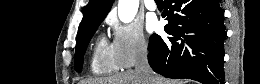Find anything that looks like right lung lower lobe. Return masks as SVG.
<instances>
[{
  "label": "right lung lower lobe",
  "instance_id": "right-lung-lower-lobe-1",
  "mask_svg": "<svg viewBox=\"0 0 260 84\" xmlns=\"http://www.w3.org/2000/svg\"><path fill=\"white\" fill-rule=\"evenodd\" d=\"M164 27L169 35L150 37L151 68L168 78L223 84L224 12L218 0H165Z\"/></svg>",
  "mask_w": 260,
  "mask_h": 84
}]
</instances>
